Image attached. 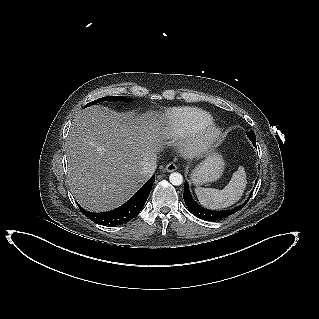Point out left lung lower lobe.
<instances>
[{
	"mask_svg": "<svg viewBox=\"0 0 319 319\" xmlns=\"http://www.w3.org/2000/svg\"><path fill=\"white\" fill-rule=\"evenodd\" d=\"M252 143L256 147V142H252ZM183 198H184L186 206L188 207L189 211L192 214H194L196 217H198L202 220L211 221V220H220L222 218L228 217L229 215H232V214L238 212L240 209H242L246 205L250 196L245 203H243L242 205H240L236 208H233L231 210L212 211V210H208V209L201 207L198 203H196V201L193 200V198L190 194V191H189L188 183L185 182Z\"/></svg>",
	"mask_w": 319,
	"mask_h": 319,
	"instance_id": "left-lung-lower-lobe-1",
	"label": "left lung lower lobe"
}]
</instances>
